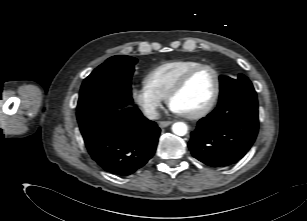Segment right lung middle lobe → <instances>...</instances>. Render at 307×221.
Returning a JSON list of instances; mask_svg holds the SVG:
<instances>
[{
	"mask_svg": "<svg viewBox=\"0 0 307 221\" xmlns=\"http://www.w3.org/2000/svg\"><path fill=\"white\" fill-rule=\"evenodd\" d=\"M136 63L137 59L130 56H113L83 81L77 105L78 122L103 107L133 103L131 77Z\"/></svg>",
	"mask_w": 307,
	"mask_h": 221,
	"instance_id": "1",
	"label": "right lung middle lobe"
}]
</instances>
